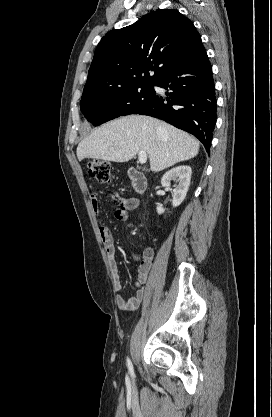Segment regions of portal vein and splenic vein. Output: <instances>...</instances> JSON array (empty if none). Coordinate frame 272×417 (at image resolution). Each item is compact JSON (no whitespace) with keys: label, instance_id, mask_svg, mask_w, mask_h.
Here are the masks:
<instances>
[{"label":"portal vein and splenic vein","instance_id":"obj_1","mask_svg":"<svg viewBox=\"0 0 272 417\" xmlns=\"http://www.w3.org/2000/svg\"><path fill=\"white\" fill-rule=\"evenodd\" d=\"M138 161L140 164H145L147 161V154L145 151H139L138 153Z\"/></svg>","mask_w":272,"mask_h":417}]
</instances>
